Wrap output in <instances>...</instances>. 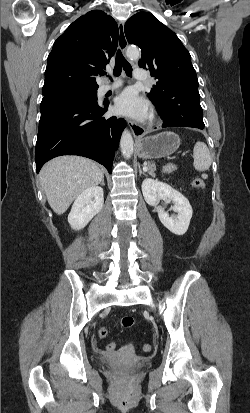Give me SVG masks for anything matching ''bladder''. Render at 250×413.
Masks as SVG:
<instances>
[{"instance_id":"31cf9c89","label":"bladder","mask_w":250,"mask_h":413,"mask_svg":"<svg viewBox=\"0 0 250 413\" xmlns=\"http://www.w3.org/2000/svg\"><path fill=\"white\" fill-rule=\"evenodd\" d=\"M101 362H102V363H106V361H105V360H101Z\"/></svg>"}]
</instances>
